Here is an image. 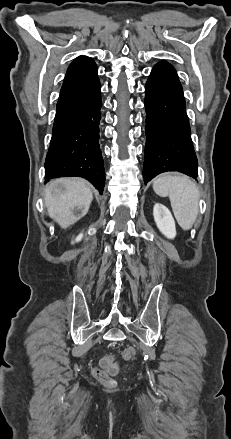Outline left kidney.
<instances>
[{
    "mask_svg": "<svg viewBox=\"0 0 231 439\" xmlns=\"http://www.w3.org/2000/svg\"><path fill=\"white\" fill-rule=\"evenodd\" d=\"M153 216L160 232L167 238L173 239L176 236V227L174 218L168 208L156 203L153 208Z\"/></svg>",
    "mask_w": 231,
    "mask_h": 439,
    "instance_id": "5707ae66",
    "label": "left kidney"
}]
</instances>
